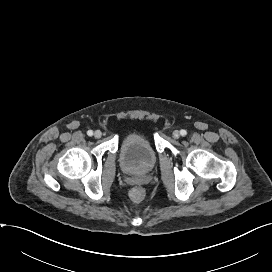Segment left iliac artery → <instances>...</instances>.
Masks as SVG:
<instances>
[{
	"label": "left iliac artery",
	"instance_id": "left-iliac-artery-1",
	"mask_svg": "<svg viewBox=\"0 0 272 272\" xmlns=\"http://www.w3.org/2000/svg\"><path fill=\"white\" fill-rule=\"evenodd\" d=\"M180 134H181L182 136H186V135H187V131L184 130V129H182V130L180 131Z\"/></svg>",
	"mask_w": 272,
	"mask_h": 272
}]
</instances>
